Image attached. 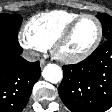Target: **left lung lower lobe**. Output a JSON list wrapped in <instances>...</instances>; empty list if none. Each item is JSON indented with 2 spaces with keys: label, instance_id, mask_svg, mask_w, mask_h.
Listing matches in <instances>:
<instances>
[{
  "label": "left lung lower lobe",
  "instance_id": "0a47b994",
  "mask_svg": "<svg viewBox=\"0 0 112 112\" xmlns=\"http://www.w3.org/2000/svg\"><path fill=\"white\" fill-rule=\"evenodd\" d=\"M59 95L72 112H104L112 107V39L88 58L63 66Z\"/></svg>",
  "mask_w": 112,
  "mask_h": 112
}]
</instances>
